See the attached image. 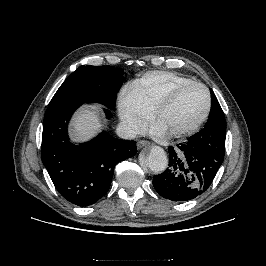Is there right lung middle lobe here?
<instances>
[{"mask_svg": "<svg viewBox=\"0 0 266 266\" xmlns=\"http://www.w3.org/2000/svg\"><path fill=\"white\" fill-rule=\"evenodd\" d=\"M112 66H81L59 87L52 99H69L81 103H101L113 110L116 93L124 77Z\"/></svg>", "mask_w": 266, "mask_h": 266, "instance_id": "obj_1", "label": "right lung middle lobe"}]
</instances>
